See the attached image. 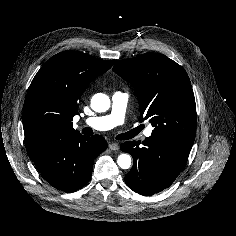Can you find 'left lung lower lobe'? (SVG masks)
<instances>
[{
    "instance_id": "0a47b994",
    "label": "left lung lower lobe",
    "mask_w": 236,
    "mask_h": 236,
    "mask_svg": "<svg viewBox=\"0 0 236 236\" xmlns=\"http://www.w3.org/2000/svg\"><path fill=\"white\" fill-rule=\"evenodd\" d=\"M192 145L185 139L154 135L142 143H123L120 149L130 153L134 160L125 176L127 186L144 196L169 187L183 169Z\"/></svg>"
}]
</instances>
